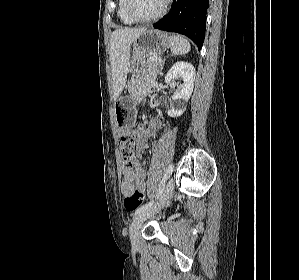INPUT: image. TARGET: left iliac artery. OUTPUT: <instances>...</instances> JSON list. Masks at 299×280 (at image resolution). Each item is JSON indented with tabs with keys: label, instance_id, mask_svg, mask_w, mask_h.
Wrapping results in <instances>:
<instances>
[{
	"label": "left iliac artery",
	"instance_id": "obj_1",
	"mask_svg": "<svg viewBox=\"0 0 299 280\" xmlns=\"http://www.w3.org/2000/svg\"><path fill=\"white\" fill-rule=\"evenodd\" d=\"M172 171H173V166L172 165H169V167L167 168V170L165 171L164 173V176H163V179L159 185V189H158V192H157V195H156V199L159 198V196L161 195V193L163 192L164 190V187H165V183L166 181L168 180V178L171 176L172 174ZM154 203V200L153 201H150L149 203H146L144 204L143 206H141L136 212H135V215L143 212L144 210L148 209L149 207H151Z\"/></svg>",
	"mask_w": 299,
	"mask_h": 280
}]
</instances>
